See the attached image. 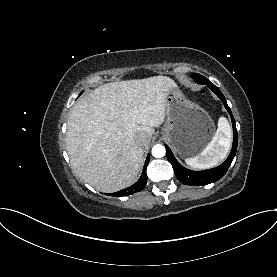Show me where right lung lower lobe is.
Segmentation results:
<instances>
[{"label": "right lung lower lobe", "mask_w": 277, "mask_h": 277, "mask_svg": "<svg viewBox=\"0 0 277 277\" xmlns=\"http://www.w3.org/2000/svg\"><path fill=\"white\" fill-rule=\"evenodd\" d=\"M149 160H150V154H148V156H147L145 165L143 167L142 175H141V177L139 178V180L135 184H133L132 186H130V187L126 188V189H123L121 191H118V192H115V193H111V194H108V195H110V196H118V197H120V196H128V195L134 194L135 192H140L141 190H143L144 187L146 186V181H147L146 169H147Z\"/></svg>", "instance_id": "1"}]
</instances>
